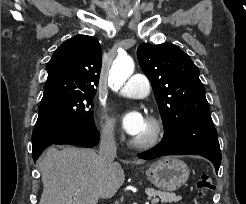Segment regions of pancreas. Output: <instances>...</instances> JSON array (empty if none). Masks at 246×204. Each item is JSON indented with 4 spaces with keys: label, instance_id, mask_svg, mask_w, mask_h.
<instances>
[{
    "label": "pancreas",
    "instance_id": "pancreas-1",
    "mask_svg": "<svg viewBox=\"0 0 246 204\" xmlns=\"http://www.w3.org/2000/svg\"><path fill=\"white\" fill-rule=\"evenodd\" d=\"M146 194L148 195V197L159 196V198L163 203L178 202L182 199L181 196H178L175 193H170L166 191H157L154 189H146Z\"/></svg>",
    "mask_w": 246,
    "mask_h": 204
}]
</instances>
